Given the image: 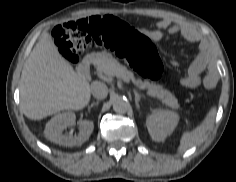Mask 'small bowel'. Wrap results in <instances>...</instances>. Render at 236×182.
<instances>
[{"mask_svg": "<svg viewBox=\"0 0 236 182\" xmlns=\"http://www.w3.org/2000/svg\"><path fill=\"white\" fill-rule=\"evenodd\" d=\"M145 36H147L152 42H159L166 35L180 34L188 42L194 43L199 40V34L197 31L185 24L176 22L170 18H163L156 23V28L152 30H143ZM170 63L173 66H178L179 62L172 58ZM207 65V51L203 45L200 47V52L191 63L186 75L181 79L180 84L184 88L193 89L203 83L206 87L211 88L213 86V74L208 71L204 78H201V72Z\"/></svg>", "mask_w": 236, "mask_h": 182, "instance_id": "c3829d8e", "label": "small bowel"}]
</instances>
